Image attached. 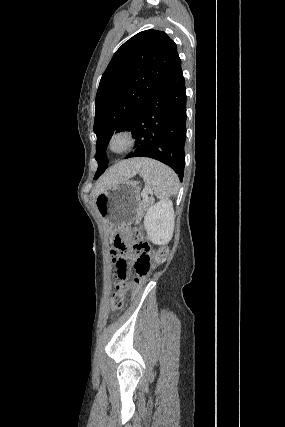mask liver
<instances>
[{
	"label": "liver",
	"mask_w": 285,
	"mask_h": 427,
	"mask_svg": "<svg viewBox=\"0 0 285 427\" xmlns=\"http://www.w3.org/2000/svg\"><path fill=\"white\" fill-rule=\"evenodd\" d=\"M144 161V158H134L130 160L121 161L112 166L99 179L93 192V196H97L102 191H104L115 183L127 180L136 175L139 172V169L141 168Z\"/></svg>",
	"instance_id": "6515ba94"
}]
</instances>
